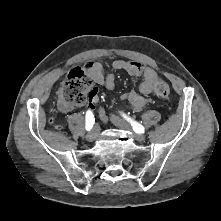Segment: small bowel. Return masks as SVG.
I'll use <instances>...</instances> for the list:
<instances>
[{
	"instance_id": "small-bowel-1",
	"label": "small bowel",
	"mask_w": 221,
	"mask_h": 221,
	"mask_svg": "<svg viewBox=\"0 0 221 221\" xmlns=\"http://www.w3.org/2000/svg\"><path fill=\"white\" fill-rule=\"evenodd\" d=\"M111 67L114 70H124L134 77H142L143 81L139 86V92L133 90L127 94H124L121 98L128 101L130 106L136 110L140 111L146 104V95L150 94L156 84L159 82V76L157 72L138 61H125L116 60L112 62ZM86 68L93 80L100 85L105 86L108 90H113L115 87V75L113 73H104V66L100 62L88 61L86 63ZM88 111L94 109L95 104L99 102V95L101 90L98 86L93 85L88 90ZM75 105L59 101L58 107L61 111L67 112L74 108Z\"/></svg>"
}]
</instances>
